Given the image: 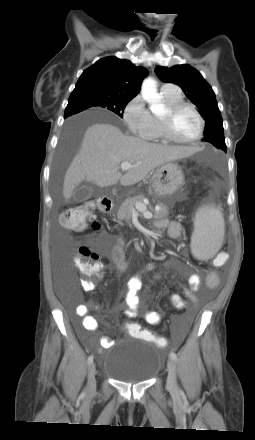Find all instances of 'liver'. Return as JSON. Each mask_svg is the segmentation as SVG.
I'll list each match as a JSON object with an SVG mask.
<instances>
[{"mask_svg":"<svg viewBox=\"0 0 255 440\" xmlns=\"http://www.w3.org/2000/svg\"><path fill=\"white\" fill-rule=\"evenodd\" d=\"M197 151L198 148L190 146L148 143L124 135L114 125L93 124L86 130L81 147L65 174L63 196L68 200L82 181L100 187L115 185L119 181L123 186L134 185L155 168ZM122 162L133 166L124 175L119 171Z\"/></svg>","mask_w":255,"mask_h":440,"instance_id":"obj_1","label":"liver"}]
</instances>
